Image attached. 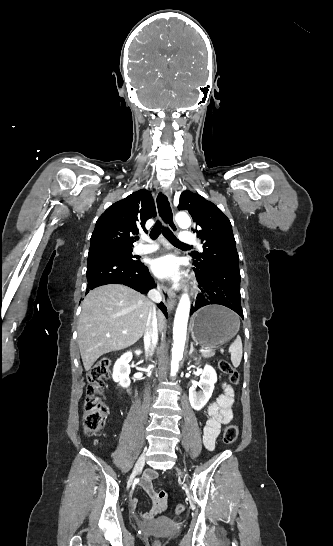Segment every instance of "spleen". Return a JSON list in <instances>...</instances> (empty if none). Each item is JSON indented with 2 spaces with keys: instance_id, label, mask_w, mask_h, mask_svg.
Returning <instances> with one entry per match:
<instances>
[{
  "instance_id": "1",
  "label": "spleen",
  "mask_w": 333,
  "mask_h": 546,
  "mask_svg": "<svg viewBox=\"0 0 333 546\" xmlns=\"http://www.w3.org/2000/svg\"><path fill=\"white\" fill-rule=\"evenodd\" d=\"M238 320V329L240 326L239 318ZM229 352L231 353V362L234 367H238L240 365L241 359H242V341L239 336L235 339V341L230 345Z\"/></svg>"
}]
</instances>
